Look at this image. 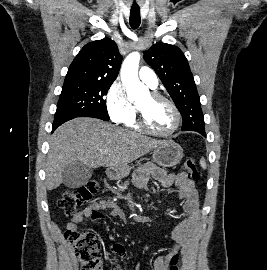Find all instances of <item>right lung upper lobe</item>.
Here are the masks:
<instances>
[{"label":"right lung upper lobe","mask_w":267,"mask_h":270,"mask_svg":"<svg viewBox=\"0 0 267 270\" xmlns=\"http://www.w3.org/2000/svg\"><path fill=\"white\" fill-rule=\"evenodd\" d=\"M122 56L109 39L86 44L71 63L65 81L113 83L118 76Z\"/></svg>","instance_id":"right-lung-upper-lobe-1"}]
</instances>
